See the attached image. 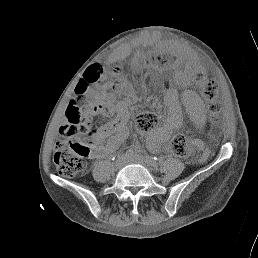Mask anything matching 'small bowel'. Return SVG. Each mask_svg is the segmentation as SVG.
Here are the masks:
<instances>
[{
  "label": "small bowel",
  "mask_w": 258,
  "mask_h": 258,
  "mask_svg": "<svg viewBox=\"0 0 258 258\" xmlns=\"http://www.w3.org/2000/svg\"><path fill=\"white\" fill-rule=\"evenodd\" d=\"M138 44H132L127 46L118 54L125 51L126 49H137ZM91 97L94 99V103L86 108L83 112V117L86 123H90L93 117L97 115L111 116L114 113V108L109 102L108 98L104 96V89L100 86L95 87L88 91ZM102 138H106V142L93 149L90 153V157L103 158L116 150L121 142L127 137V130L119 125L110 123L106 125L100 131ZM158 142V136H154L150 141V146H154Z\"/></svg>",
  "instance_id": "1"
}]
</instances>
